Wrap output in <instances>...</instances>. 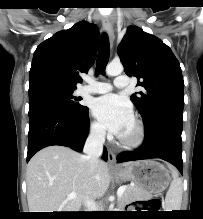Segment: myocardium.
Masks as SVG:
<instances>
[{
  "instance_id": "obj_1",
  "label": "myocardium",
  "mask_w": 203,
  "mask_h": 219,
  "mask_svg": "<svg viewBox=\"0 0 203 219\" xmlns=\"http://www.w3.org/2000/svg\"><path fill=\"white\" fill-rule=\"evenodd\" d=\"M134 135L131 138L117 137L120 146L126 149H136L140 147L145 140V128L142 121L136 117L133 118Z\"/></svg>"
}]
</instances>
